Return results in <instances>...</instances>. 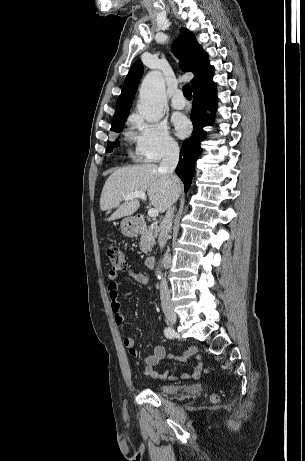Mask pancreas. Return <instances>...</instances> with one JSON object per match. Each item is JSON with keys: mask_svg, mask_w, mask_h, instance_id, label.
<instances>
[{"mask_svg": "<svg viewBox=\"0 0 305 461\" xmlns=\"http://www.w3.org/2000/svg\"><path fill=\"white\" fill-rule=\"evenodd\" d=\"M158 235V227L157 226H149L148 229L144 230L141 233V241H140V250L144 254H148L151 250L152 247L155 244V238Z\"/></svg>", "mask_w": 305, "mask_h": 461, "instance_id": "1", "label": "pancreas"}]
</instances>
